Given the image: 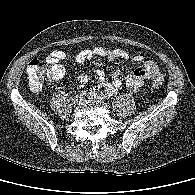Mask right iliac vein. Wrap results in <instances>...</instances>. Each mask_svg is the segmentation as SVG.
Segmentation results:
<instances>
[{
	"mask_svg": "<svg viewBox=\"0 0 195 195\" xmlns=\"http://www.w3.org/2000/svg\"><path fill=\"white\" fill-rule=\"evenodd\" d=\"M83 101V97L81 95H77L73 99V103L75 105H79Z\"/></svg>",
	"mask_w": 195,
	"mask_h": 195,
	"instance_id": "63e3f726",
	"label": "right iliac vein"
}]
</instances>
